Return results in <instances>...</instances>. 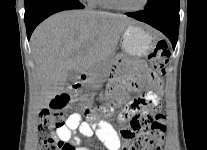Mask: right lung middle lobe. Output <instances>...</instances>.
<instances>
[{
	"label": "right lung middle lobe",
	"mask_w": 207,
	"mask_h": 150,
	"mask_svg": "<svg viewBox=\"0 0 207 150\" xmlns=\"http://www.w3.org/2000/svg\"><path fill=\"white\" fill-rule=\"evenodd\" d=\"M37 0H25L24 2H25V6H28V5H30V4H32V3H34V2H36Z\"/></svg>",
	"instance_id": "obj_1"
}]
</instances>
